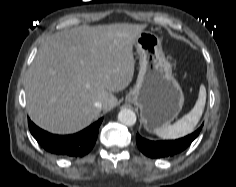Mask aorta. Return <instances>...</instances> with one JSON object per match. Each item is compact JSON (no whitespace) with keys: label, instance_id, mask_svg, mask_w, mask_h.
<instances>
[{"label":"aorta","instance_id":"762f6f07","mask_svg":"<svg viewBox=\"0 0 236 187\" xmlns=\"http://www.w3.org/2000/svg\"><path fill=\"white\" fill-rule=\"evenodd\" d=\"M118 120L126 126H132L136 123V114L130 109H122L118 113Z\"/></svg>","mask_w":236,"mask_h":187}]
</instances>
